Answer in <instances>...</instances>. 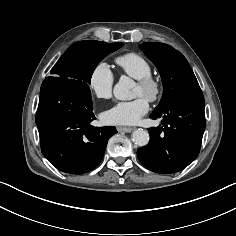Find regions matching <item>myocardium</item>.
Returning <instances> with one entry per match:
<instances>
[{
	"mask_svg": "<svg viewBox=\"0 0 236 236\" xmlns=\"http://www.w3.org/2000/svg\"><path fill=\"white\" fill-rule=\"evenodd\" d=\"M137 84L145 91L146 98L150 102L157 101L162 95L163 86L157 77L152 75L144 76L137 79Z\"/></svg>",
	"mask_w": 236,
	"mask_h": 236,
	"instance_id": "myocardium-1",
	"label": "myocardium"
}]
</instances>
